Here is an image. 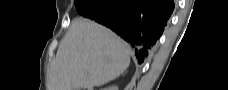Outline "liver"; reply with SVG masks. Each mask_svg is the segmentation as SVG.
Instances as JSON below:
<instances>
[{
    "instance_id": "6515ba94",
    "label": "liver",
    "mask_w": 228,
    "mask_h": 90,
    "mask_svg": "<svg viewBox=\"0 0 228 90\" xmlns=\"http://www.w3.org/2000/svg\"><path fill=\"white\" fill-rule=\"evenodd\" d=\"M130 65L126 44L93 21L76 18L51 63L48 90H80L119 77Z\"/></svg>"
}]
</instances>
